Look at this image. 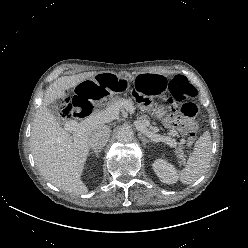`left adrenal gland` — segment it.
I'll list each match as a JSON object with an SVG mask.
<instances>
[{
	"instance_id": "left-adrenal-gland-1",
	"label": "left adrenal gland",
	"mask_w": 248,
	"mask_h": 248,
	"mask_svg": "<svg viewBox=\"0 0 248 248\" xmlns=\"http://www.w3.org/2000/svg\"><path fill=\"white\" fill-rule=\"evenodd\" d=\"M139 138L141 139L142 143L144 146H146L147 143H150L151 141H149L148 139H146L145 137H143L142 135L138 134Z\"/></svg>"
}]
</instances>
